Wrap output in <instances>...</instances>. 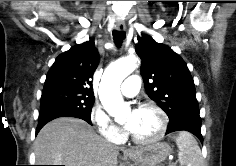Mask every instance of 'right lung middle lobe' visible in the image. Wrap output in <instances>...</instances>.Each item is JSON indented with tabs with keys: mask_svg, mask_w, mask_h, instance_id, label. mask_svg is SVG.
Wrapping results in <instances>:
<instances>
[{
	"mask_svg": "<svg viewBox=\"0 0 236 166\" xmlns=\"http://www.w3.org/2000/svg\"><path fill=\"white\" fill-rule=\"evenodd\" d=\"M95 97L64 90L42 93L39 122L63 117L66 114H80L90 119Z\"/></svg>",
	"mask_w": 236,
	"mask_h": 166,
	"instance_id": "obj_1",
	"label": "right lung middle lobe"
}]
</instances>
